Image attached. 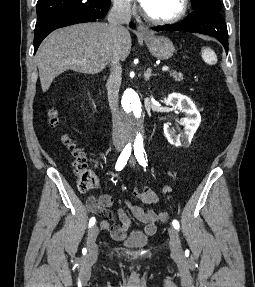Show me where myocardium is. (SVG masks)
<instances>
[{"label": "myocardium", "mask_w": 255, "mask_h": 287, "mask_svg": "<svg viewBox=\"0 0 255 287\" xmlns=\"http://www.w3.org/2000/svg\"><path fill=\"white\" fill-rule=\"evenodd\" d=\"M139 33H149V32H139ZM169 33H175V32H169ZM130 39H137V38H130ZM145 39H153V38H145ZM166 39H175V38H166ZM134 48V47H130ZM147 48H152V47H147Z\"/></svg>", "instance_id": "myocardium-1"}]
</instances>
